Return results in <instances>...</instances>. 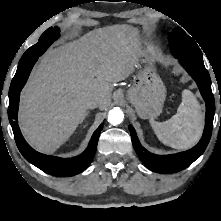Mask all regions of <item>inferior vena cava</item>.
Masks as SVG:
<instances>
[{"mask_svg":"<svg viewBox=\"0 0 221 221\" xmlns=\"http://www.w3.org/2000/svg\"><path fill=\"white\" fill-rule=\"evenodd\" d=\"M99 105V98L93 97L87 101V107L89 109L97 108Z\"/></svg>","mask_w":221,"mask_h":221,"instance_id":"1","label":"inferior vena cava"}]
</instances>
